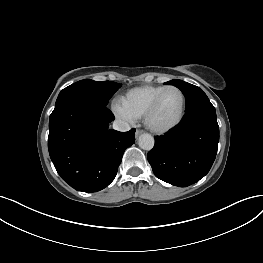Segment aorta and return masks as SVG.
I'll list each match as a JSON object with an SVG mask.
<instances>
[{
    "mask_svg": "<svg viewBox=\"0 0 263 263\" xmlns=\"http://www.w3.org/2000/svg\"><path fill=\"white\" fill-rule=\"evenodd\" d=\"M139 147L144 150H151L154 147V138L150 134L140 135L138 141Z\"/></svg>",
    "mask_w": 263,
    "mask_h": 263,
    "instance_id": "aorta-1",
    "label": "aorta"
}]
</instances>
